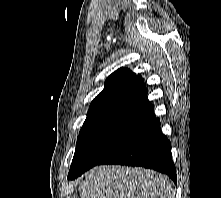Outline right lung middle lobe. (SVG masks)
Masks as SVG:
<instances>
[{"label":"right lung middle lobe","mask_w":221,"mask_h":198,"mask_svg":"<svg viewBox=\"0 0 221 198\" xmlns=\"http://www.w3.org/2000/svg\"><path fill=\"white\" fill-rule=\"evenodd\" d=\"M142 125L143 123L135 121L104 120L83 126L77 139L68 179L73 180L97 165L133 136Z\"/></svg>","instance_id":"1"}]
</instances>
